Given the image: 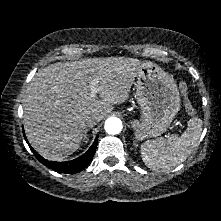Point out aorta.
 Masks as SVG:
<instances>
[{
    "label": "aorta",
    "mask_w": 221,
    "mask_h": 221,
    "mask_svg": "<svg viewBox=\"0 0 221 221\" xmlns=\"http://www.w3.org/2000/svg\"><path fill=\"white\" fill-rule=\"evenodd\" d=\"M104 128L108 134H119L122 130V122L119 118L110 117L106 120Z\"/></svg>",
    "instance_id": "762f6f07"
}]
</instances>
